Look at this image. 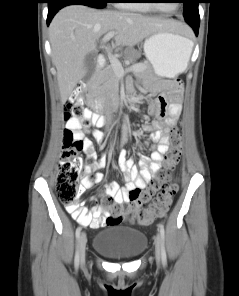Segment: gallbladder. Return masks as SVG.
<instances>
[{
	"mask_svg": "<svg viewBox=\"0 0 239 296\" xmlns=\"http://www.w3.org/2000/svg\"><path fill=\"white\" fill-rule=\"evenodd\" d=\"M84 67L86 70V74L84 76V80H89L95 72L96 69V55L91 53L88 54L84 61Z\"/></svg>",
	"mask_w": 239,
	"mask_h": 296,
	"instance_id": "obj_1",
	"label": "gallbladder"
}]
</instances>
